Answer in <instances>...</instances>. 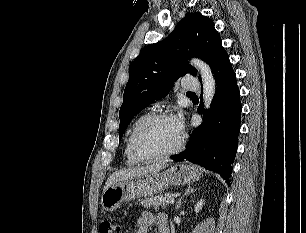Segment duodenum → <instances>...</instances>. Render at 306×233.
<instances>
[{
    "mask_svg": "<svg viewBox=\"0 0 306 233\" xmlns=\"http://www.w3.org/2000/svg\"><path fill=\"white\" fill-rule=\"evenodd\" d=\"M161 231H162V233H169L168 232V226H164Z\"/></svg>",
    "mask_w": 306,
    "mask_h": 233,
    "instance_id": "1",
    "label": "duodenum"
}]
</instances>
